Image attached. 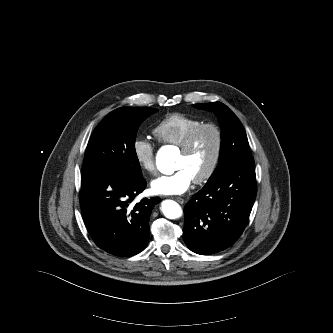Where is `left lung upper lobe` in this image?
<instances>
[{
	"mask_svg": "<svg viewBox=\"0 0 333 333\" xmlns=\"http://www.w3.org/2000/svg\"><path fill=\"white\" fill-rule=\"evenodd\" d=\"M193 107L213 111L218 116L222 129L219 162L208 182L229 168L254 163L245 130L237 116L226 105L215 102L194 104Z\"/></svg>",
	"mask_w": 333,
	"mask_h": 333,
	"instance_id": "left-lung-upper-lobe-1",
	"label": "left lung upper lobe"
}]
</instances>
